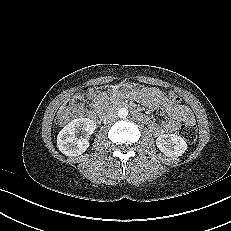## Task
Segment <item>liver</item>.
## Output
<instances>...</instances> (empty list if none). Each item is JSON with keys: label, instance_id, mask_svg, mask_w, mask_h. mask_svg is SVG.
Returning a JSON list of instances; mask_svg holds the SVG:
<instances>
[{"label": "liver", "instance_id": "obj_1", "mask_svg": "<svg viewBox=\"0 0 231 231\" xmlns=\"http://www.w3.org/2000/svg\"><path fill=\"white\" fill-rule=\"evenodd\" d=\"M65 103H66V102H65ZM65 103H63V105L60 107V109H59V112H58V113H61V112H62V110H64V109L66 108Z\"/></svg>", "mask_w": 231, "mask_h": 231}]
</instances>
